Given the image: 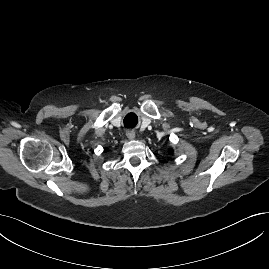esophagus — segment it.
Returning <instances> with one entry per match:
<instances>
[{"mask_svg":"<svg viewBox=\"0 0 269 269\" xmlns=\"http://www.w3.org/2000/svg\"><path fill=\"white\" fill-rule=\"evenodd\" d=\"M127 137L128 139L133 140L135 138V132L133 131L127 132Z\"/></svg>","mask_w":269,"mask_h":269,"instance_id":"1","label":"esophagus"}]
</instances>
